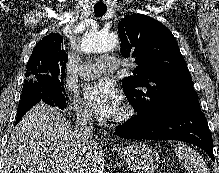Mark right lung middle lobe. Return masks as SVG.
Here are the masks:
<instances>
[{
    "label": "right lung middle lobe",
    "mask_w": 219,
    "mask_h": 173,
    "mask_svg": "<svg viewBox=\"0 0 219 173\" xmlns=\"http://www.w3.org/2000/svg\"><path fill=\"white\" fill-rule=\"evenodd\" d=\"M26 69L22 95L43 93L58 103L65 104L67 94L63 83L64 68L58 64L48 65L28 61Z\"/></svg>",
    "instance_id": "obj_1"
}]
</instances>
